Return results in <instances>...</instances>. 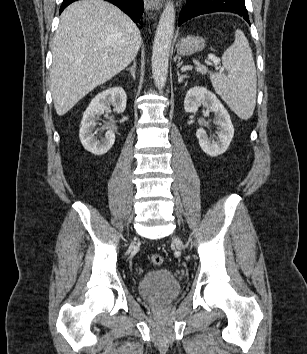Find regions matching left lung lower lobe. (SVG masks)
<instances>
[{"mask_svg":"<svg viewBox=\"0 0 307 354\" xmlns=\"http://www.w3.org/2000/svg\"><path fill=\"white\" fill-rule=\"evenodd\" d=\"M212 12L238 14L250 24L244 0H186L178 25L193 17Z\"/></svg>","mask_w":307,"mask_h":354,"instance_id":"left-lung-lower-lobe-1","label":"left lung lower lobe"}]
</instances>
